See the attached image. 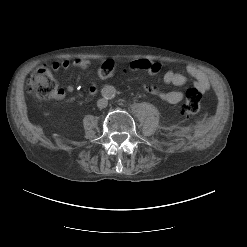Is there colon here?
Returning <instances> with one entry per match:
<instances>
[{"mask_svg": "<svg viewBox=\"0 0 247 247\" xmlns=\"http://www.w3.org/2000/svg\"><path fill=\"white\" fill-rule=\"evenodd\" d=\"M116 72L112 61H104L98 68L97 74L100 77H108ZM28 92L36 98L44 101H51L60 95L57 83L55 82L48 67L39 66L28 79ZM201 93L193 88L185 93L184 101L180 106V113L185 117H191L200 110Z\"/></svg>", "mask_w": 247, "mask_h": 247, "instance_id": "1", "label": "colon"}]
</instances>
